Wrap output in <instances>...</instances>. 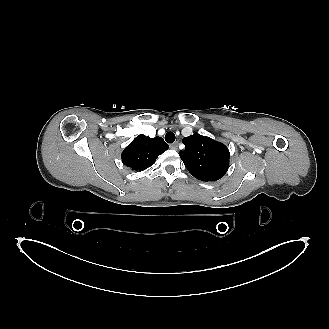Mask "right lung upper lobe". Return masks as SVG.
I'll return each instance as SVG.
<instances>
[{"instance_id":"right-lung-upper-lobe-1","label":"right lung upper lobe","mask_w":329,"mask_h":329,"mask_svg":"<svg viewBox=\"0 0 329 329\" xmlns=\"http://www.w3.org/2000/svg\"><path fill=\"white\" fill-rule=\"evenodd\" d=\"M168 148L161 137L138 135L122 152V162L132 170L142 171L152 166L157 157Z\"/></svg>"}]
</instances>
